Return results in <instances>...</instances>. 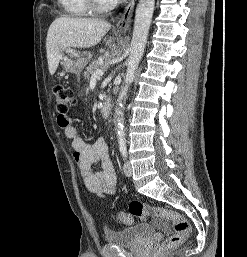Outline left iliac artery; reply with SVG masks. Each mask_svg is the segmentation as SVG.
Segmentation results:
<instances>
[{
	"label": "left iliac artery",
	"mask_w": 247,
	"mask_h": 257,
	"mask_svg": "<svg viewBox=\"0 0 247 257\" xmlns=\"http://www.w3.org/2000/svg\"><path fill=\"white\" fill-rule=\"evenodd\" d=\"M119 150L122 154V157L125 159L127 157V148H126V140L124 138L119 139Z\"/></svg>",
	"instance_id": "obj_1"
}]
</instances>
